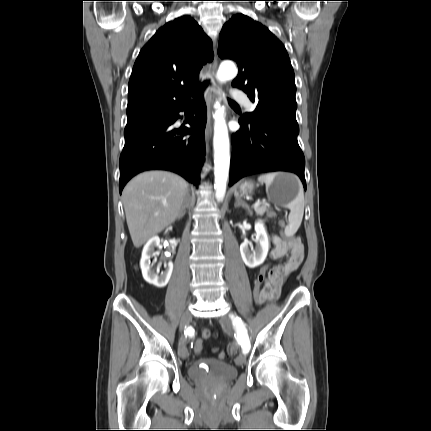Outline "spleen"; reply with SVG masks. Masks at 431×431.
Listing matches in <instances>:
<instances>
[{"mask_svg": "<svg viewBox=\"0 0 431 431\" xmlns=\"http://www.w3.org/2000/svg\"><path fill=\"white\" fill-rule=\"evenodd\" d=\"M278 173H268L260 175L258 177L259 182H264L270 185ZM290 214L288 216V225L285 228L287 236L294 235L301 225L303 214H304V193L302 187H300L298 196L288 205Z\"/></svg>", "mask_w": 431, "mask_h": 431, "instance_id": "3e777b00", "label": "spleen"}]
</instances>
